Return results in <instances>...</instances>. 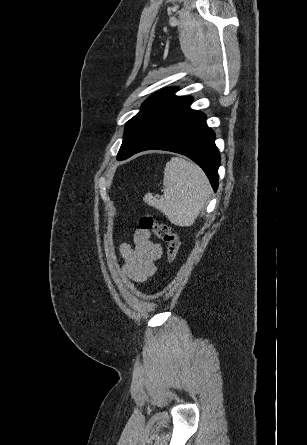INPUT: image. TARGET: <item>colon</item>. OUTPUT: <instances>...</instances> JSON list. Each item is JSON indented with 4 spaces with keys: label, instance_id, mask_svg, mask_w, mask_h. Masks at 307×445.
Returning a JSON list of instances; mask_svg holds the SVG:
<instances>
[{
    "label": "colon",
    "instance_id": "obj_1",
    "mask_svg": "<svg viewBox=\"0 0 307 445\" xmlns=\"http://www.w3.org/2000/svg\"><path fill=\"white\" fill-rule=\"evenodd\" d=\"M139 227L145 231L153 232L166 243L167 260L169 263H173L180 248L179 235L170 226L157 222L150 214H145L140 218Z\"/></svg>",
    "mask_w": 307,
    "mask_h": 445
}]
</instances>
